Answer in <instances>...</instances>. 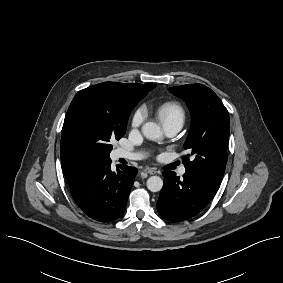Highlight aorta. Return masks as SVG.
I'll return each instance as SVG.
<instances>
[{"label": "aorta", "mask_w": 283, "mask_h": 283, "mask_svg": "<svg viewBox=\"0 0 283 283\" xmlns=\"http://www.w3.org/2000/svg\"><path fill=\"white\" fill-rule=\"evenodd\" d=\"M142 133L147 139L152 141L160 140L163 137L161 128L154 122L145 123L142 126ZM146 185L151 192H158L162 189L163 180L159 176H151L148 178Z\"/></svg>", "instance_id": "762f6f07"}]
</instances>
